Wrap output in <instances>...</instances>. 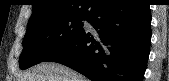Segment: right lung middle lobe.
<instances>
[{"mask_svg": "<svg viewBox=\"0 0 169 81\" xmlns=\"http://www.w3.org/2000/svg\"><path fill=\"white\" fill-rule=\"evenodd\" d=\"M84 19V15H68L28 23L19 59L20 68L27 69L43 62L70 43L83 30Z\"/></svg>", "mask_w": 169, "mask_h": 81, "instance_id": "dd1d6c3e", "label": "right lung middle lobe"}]
</instances>
